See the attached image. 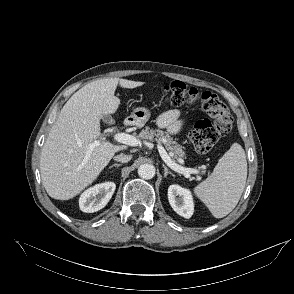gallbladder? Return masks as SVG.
Instances as JSON below:
<instances>
[{
    "label": "gallbladder",
    "mask_w": 294,
    "mask_h": 294,
    "mask_svg": "<svg viewBox=\"0 0 294 294\" xmlns=\"http://www.w3.org/2000/svg\"><path fill=\"white\" fill-rule=\"evenodd\" d=\"M103 121L105 123H108V124H112L114 122L113 118L111 116H109V115H104L103 116Z\"/></svg>",
    "instance_id": "1"
}]
</instances>
